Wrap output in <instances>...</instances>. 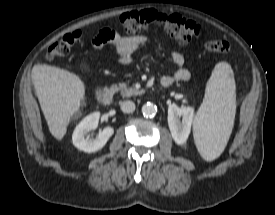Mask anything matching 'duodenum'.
I'll use <instances>...</instances> for the list:
<instances>
[{
	"label": "duodenum",
	"instance_id": "obj_1",
	"mask_svg": "<svg viewBox=\"0 0 275 215\" xmlns=\"http://www.w3.org/2000/svg\"><path fill=\"white\" fill-rule=\"evenodd\" d=\"M163 86H169L168 83H162ZM114 94L113 88H103L96 91V100L99 103H108L111 101Z\"/></svg>",
	"mask_w": 275,
	"mask_h": 215
}]
</instances>
